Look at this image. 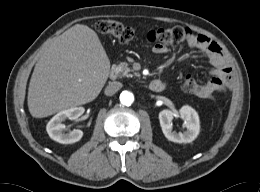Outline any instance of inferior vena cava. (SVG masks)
Returning a JSON list of instances; mask_svg holds the SVG:
<instances>
[{
    "label": "inferior vena cava",
    "instance_id": "1",
    "mask_svg": "<svg viewBox=\"0 0 260 192\" xmlns=\"http://www.w3.org/2000/svg\"><path fill=\"white\" fill-rule=\"evenodd\" d=\"M122 83L121 82H110L109 85L106 87L105 89V94L106 95H113L115 94L117 91H119L122 88Z\"/></svg>",
    "mask_w": 260,
    "mask_h": 192
}]
</instances>
